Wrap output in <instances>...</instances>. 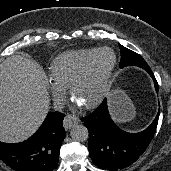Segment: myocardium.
Listing matches in <instances>:
<instances>
[{"instance_id": "f54148a6", "label": "myocardium", "mask_w": 171, "mask_h": 171, "mask_svg": "<svg viewBox=\"0 0 171 171\" xmlns=\"http://www.w3.org/2000/svg\"><path fill=\"white\" fill-rule=\"evenodd\" d=\"M103 51L111 52V54L113 56V61L103 76L101 89H100L98 95L92 101L83 105V107L86 109H91V108L96 107L104 100V98L107 95L110 80H111L112 74H113L116 64H117V57H116V53L114 52V50L111 49L110 47H101V48L96 49L93 52V54L87 59V61L84 63V65L80 68V70L75 74V76L73 77V79L71 80V82L69 84V92H70V95L73 97L75 88L85 78V76L87 75V73H88L93 61L97 57V55Z\"/></svg>"}]
</instances>
